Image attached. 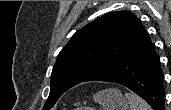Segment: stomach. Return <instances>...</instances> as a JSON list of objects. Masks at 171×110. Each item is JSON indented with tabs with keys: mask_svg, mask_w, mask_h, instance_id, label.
<instances>
[{
	"mask_svg": "<svg viewBox=\"0 0 171 110\" xmlns=\"http://www.w3.org/2000/svg\"><path fill=\"white\" fill-rule=\"evenodd\" d=\"M94 100L102 105L104 110H129L127 100L117 89L100 91L94 96Z\"/></svg>",
	"mask_w": 171,
	"mask_h": 110,
	"instance_id": "stomach-1",
	"label": "stomach"
}]
</instances>
